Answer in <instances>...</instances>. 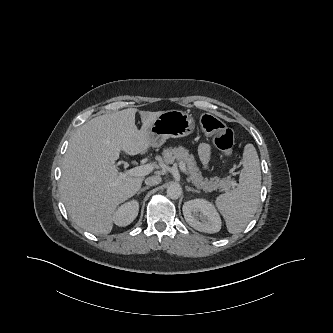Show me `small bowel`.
<instances>
[{
  "mask_svg": "<svg viewBox=\"0 0 333 333\" xmlns=\"http://www.w3.org/2000/svg\"><path fill=\"white\" fill-rule=\"evenodd\" d=\"M198 153L203 166L206 167L210 158V146L207 143H201Z\"/></svg>",
  "mask_w": 333,
  "mask_h": 333,
  "instance_id": "obj_1",
  "label": "small bowel"
}]
</instances>
